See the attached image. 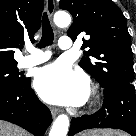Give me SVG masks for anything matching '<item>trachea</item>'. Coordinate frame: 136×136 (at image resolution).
Instances as JSON below:
<instances>
[{
    "label": "trachea",
    "instance_id": "trachea-1",
    "mask_svg": "<svg viewBox=\"0 0 136 136\" xmlns=\"http://www.w3.org/2000/svg\"><path fill=\"white\" fill-rule=\"evenodd\" d=\"M53 40H54L53 30L51 28L47 13H44L42 17V37L37 46L39 48L46 47L48 45H51L53 43Z\"/></svg>",
    "mask_w": 136,
    "mask_h": 136
}]
</instances>
